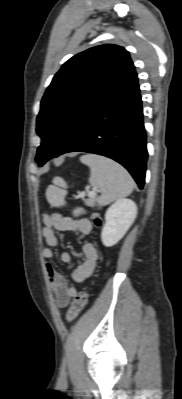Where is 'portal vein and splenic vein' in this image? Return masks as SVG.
Here are the masks:
<instances>
[{"label": "portal vein and splenic vein", "mask_w": 182, "mask_h": 399, "mask_svg": "<svg viewBox=\"0 0 182 399\" xmlns=\"http://www.w3.org/2000/svg\"><path fill=\"white\" fill-rule=\"evenodd\" d=\"M88 195H89V196H95L96 193H95L94 191H89V192H88Z\"/></svg>", "instance_id": "1"}]
</instances>
